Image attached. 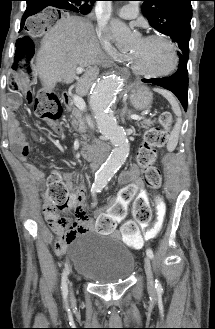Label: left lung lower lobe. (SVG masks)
I'll return each instance as SVG.
<instances>
[{"mask_svg":"<svg viewBox=\"0 0 215 329\" xmlns=\"http://www.w3.org/2000/svg\"><path fill=\"white\" fill-rule=\"evenodd\" d=\"M187 57L179 58L178 70L166 78L143 79V82L161 86L173 92L182 103L185 111L188 104V70Z\"/></svg>","mask_w":215,"mask_h":329,"instance_id":"0a47b994","label":"left lung lower lobe"}]
</instances>
